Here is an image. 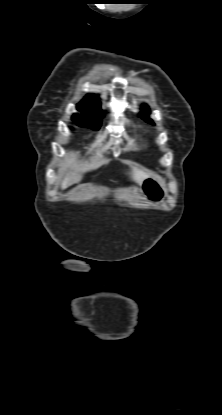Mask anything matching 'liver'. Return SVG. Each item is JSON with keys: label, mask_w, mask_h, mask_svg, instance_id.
<instances>
[{"label": "liver", "mask_w": 222, "mask_h": 415, "mask_svg": "<svg viewBox=\"0 0 222 415\" xmlns=\"http://www.w3.org/2000/svg\"><path fill=\"white\" fill-rule=\"evenodd\" d=\"M131 177L134 181H136L138 184H142L143 180L148 177V174L138 170L136 168H134L131 172ZM81 180V176L80 175H72L71 177H66L62 184H61V188L62 189H66L67 187L78 183Z\"/></svg>", "instance_id": "6515ba94"}]
</instances>
